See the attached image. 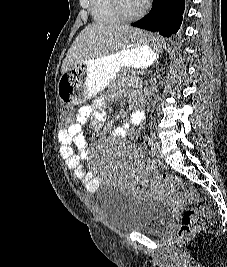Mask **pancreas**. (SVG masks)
<instances>
[{"mask_svg": "<svg viewBox=\"0 0 227 267\" xmlns=\"http://www.w3.org/2000/svg\"><path fill=\"white\" fill-rule=\"evenodd\" d=\"M112 85L139 87L141 85L139 77L129 74L125 69L113 80Z\"/></svg>", "mask_w": 227, "mask_h": 267, "instance_id": "1", "label": "pancreas"}]
</instances>
